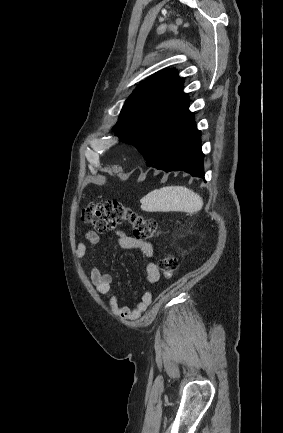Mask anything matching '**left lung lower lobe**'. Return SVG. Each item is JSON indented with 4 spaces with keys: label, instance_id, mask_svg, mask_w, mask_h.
<instances>
[{
    "label": "left lung lower lobe",
    "instance_id": "1",
    "mask_svg": "<svg viewBox=\"0 0 283 433\" xmlns=\"http://www.w3.org/2000/svg\"><path fill=\"white\" fill-rule=\"evenodd\" d=\"M200 131L194 117L178 129L172 126L153 127L146 135L139 152L153 166L166 172L183 170L194 177H204Z\"/></svg>",
    "mask_w": 283,
    "mask_h": 433
}]
</instances>
